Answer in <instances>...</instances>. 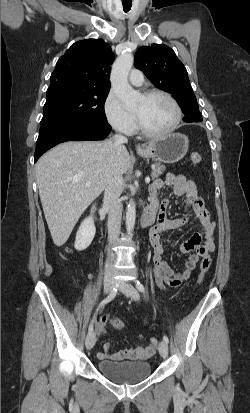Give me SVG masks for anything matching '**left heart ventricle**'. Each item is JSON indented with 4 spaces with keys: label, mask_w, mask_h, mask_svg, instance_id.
Masks as SVG:
<instances>
[{
    "label": "left heart ventricle",
    "mask_w": 250,
    "mask_h": 413,
    "mask_svg": "<svg viewBox=\"0 0 250 413\" xmlns=\"http://www.w3.org/2000/svg\"><path fill=\"white\" fill-rule=\"evenodd\" d=\"M134 112L140 116L145 127L152 132L167 130L176 118L171 102L163 96L142 97Z\"/></svg>",
    "instance_id": "1"
}]
</instances>
